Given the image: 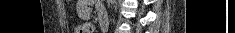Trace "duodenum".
Instances as JSON below:
<instances>
[{"mask_svg": "<svg viewBox=\"0 0 235 33\" xmlns=\"http://www.w3.org/2000/svg\"><path fill=\"white\" fill-rule=\"evenodd\" d=\"M99 22L102 30H106L107 25H108V20L105 14H101L99 16Z\"/></svg>", "mask_w": 235, "mask_h": 33, "instance_id": "410a0bca", "label": "duodenum"}]
</instances>
